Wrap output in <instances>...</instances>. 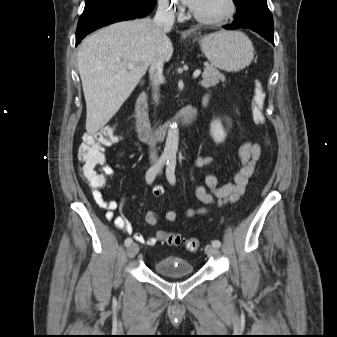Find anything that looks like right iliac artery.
I'll return each instance as SVG.
<instances>
[{
    "label": "right iliac artery",
    "mask_w": 337,
    "mask_h": 337,
    "mask_svg": "<svg viewBox=\"0 0 337 337\" xmlns=\"http://www.w3.org/2000/svg\"><path fill=\"white\" fill-rule=\"evenodd\" d=\"M169 157L166 155H163L159 158V160L155 163V165H153L152 167H150L148 169V171L146 172V181L148 184H151L154 179L156 174L159 172V170L163 167V165L168 161ZM133 240L131 238H126L125 240V246H130L132 244Z\"/></svg>",
    "instance_id": "obj_1"
}]
</instances>
